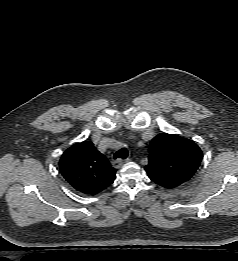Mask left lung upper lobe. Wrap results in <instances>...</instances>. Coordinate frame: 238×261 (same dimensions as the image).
Listing matches in <instances>:
<instances>
[{
    "label": "left lung upper lobe",
    "instance_id": "left-lung-upper-lobe-1",
    "mask_svg": "<svg viewBox=\"0 0 238 261\" xmlns=\"http://www.w3.org/2000/svg\"><path fill=\"white\" fill-rule=\"evenodd\" d=\"M149 178L165 188H174L188 181L198 169L202 152L193 141L161 133L150 143Z\"/></svg>",
    "mask_w": 238,
    "mask_h": 261
}]
</instances>
